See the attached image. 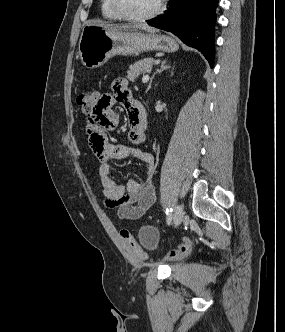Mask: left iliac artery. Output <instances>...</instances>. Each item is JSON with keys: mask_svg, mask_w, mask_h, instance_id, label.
Returning <instances> with one entry per match:
<instances>
[{"mask_svg": "<svg viewBox=\"0 0 285 332\" xmlns=\"http://www.w3.org/2000/svg\"><path fill=\"white\" fill-rule=\"evenodd\" d=\"M172 207L166 209V215H167V224L169 225L172 221Z\"/></svg>", "mask_w": 285, "mask_h": 332, "instance_id": "obj_1", "label": "left iliac artery"}]
</instances>
